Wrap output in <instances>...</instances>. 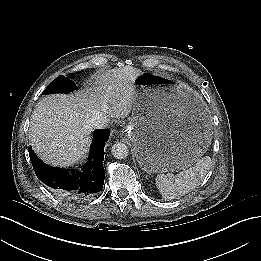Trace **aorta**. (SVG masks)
<instances>
[{"instance_id": "aorta-1", "label": "aorta", "mask_w": 261, "mask_h": 261, "mask_svg": "<svg viewBox=\"0 0 261 261\" xmlns=\"http://www.w3.org/2000/svg\"><path fill=\"white\" fill-rule=\"evenodd\" d=\"M111 152L116 159H124L128 156L129 149L125 143L117 142L112 146Z\"/></svg>"}]
</instances>
